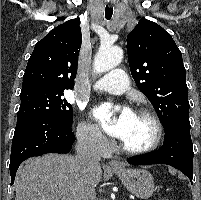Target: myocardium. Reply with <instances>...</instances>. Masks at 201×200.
Returning <instances> with one entry per match:
<instances>
[{"label":"myocardium","mask_w":201,"mask_h":200,"mask_svg":"<svg viewBox=\"0 0 201 200\" xmlns=\"http://www.w3.org/2000/svg\"><path fill=\"white\" fill-rule=\"evenodd\" d=\"M134 113L145 116L152 121V123L155 126V137L149 145L142 148H130L127 145H125L122 141H120V147L122 151H124L127 154L140 155L150 153L155 149H157L162 142L164 136V127L162 121L155 112L146 107H138L135 109Z\"/></svg>","instance_id":"myocardium-1"}]
</instances>
